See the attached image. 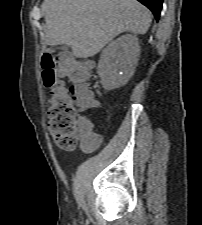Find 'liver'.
Listing matches in <instances>:
<instances>
[{
  "instance_id": "6515ba94",
  "label": "liver",
  "mask_w": 202,
  "mask_h": 225,
  "mask_svg": "<svg viewBox=\"0 0 202 225\" xmlns=\"http://www.w3.org/2000/svg\"><path fill=\"white\" fill-rule=\"evenodd\" d=\"M46 44L70 46L77 58L96 55L123 32L145 34L151 14L137 0H44Z\"/></svg>"
}]
</instances>
